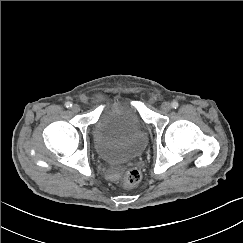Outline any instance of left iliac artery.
<instances>
[{
  "instance_id": "obj_1",
  "label": "left iliac artery",
  "mask_w": 243,
  "mask_h": 243,
  "mask_svg": "<svg viewBox=\"0 0 243 243\" xmlns=\"http://www.w3.org/2000/svg\"><path fill=\"white\" fill-rule=\"evenodd\" d=\"M178 102L177 101H173L172 103H171V106H172V108H174V109H176L177 107H178Z\"/></svg>"
}]
</instances>
